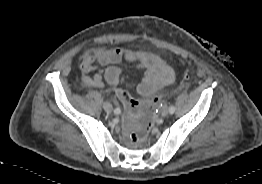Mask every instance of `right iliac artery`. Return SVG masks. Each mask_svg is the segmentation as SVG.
<instances>
[{"label": "right iliac artery", "instance_id": "82829eb1", "mask_svg": "<svg viewBox=\"0 0 262 184\" xmlns=\"http://www.w3.org/2000/svg\"><path fill=\"white\" fill-rule=\"evenodd\" d=\"M121 112L120 108H115L114 113L119 114Z\"/></svg>", "mask_w": 262, "mask_h": 184}]
</instances>
